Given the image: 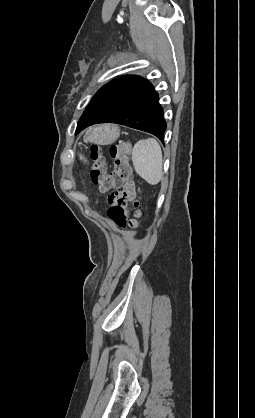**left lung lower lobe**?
I'll return each instance as SVG.
<instances>
[{"label":"left lung lower lobe","mask_w":255,"mask_h":418,"mask_svg":"<svg viewBox=\"0 0 255 418\" xmlns=\"http://www.w3.org/2000/svg\"><path fill=\"white\" fill-rule=\"evenodd\" d=\"M97 123H117L149 132L163 141L166 122L158 93L151 83L136 75L110 82L83 112L79 132Z\"/></svg>","instance_id":"obj_1"}]
</instances>
